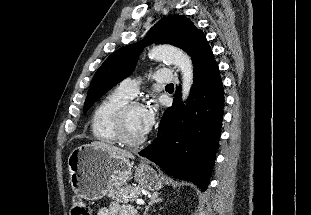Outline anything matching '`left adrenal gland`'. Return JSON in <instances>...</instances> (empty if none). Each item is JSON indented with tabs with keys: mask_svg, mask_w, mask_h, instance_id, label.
<instances>
[{
	"mask_svg": "<svg viewBox=\"0 0 311 215\" xmlns=\"http://www.w3.org/2000/svg\"><path fill=\"white\" fill-rule=\"evenodd\" d=\"M158 195H159V193H157V192H155V193L152 194V196L150 197V201H149L148 205L146 206L143 215H147V212H148L149 208H150L153 204L159 203V202L162 201V199L159 198Z\"/></svg>",
	"mask_w": 311,
	"mask_h": 215,
	"instance_id": "a2214340",
	"label": "left adrenal gland"
}]
</instances>
